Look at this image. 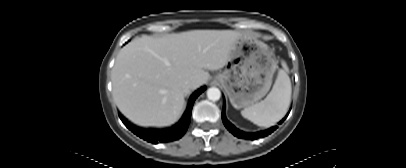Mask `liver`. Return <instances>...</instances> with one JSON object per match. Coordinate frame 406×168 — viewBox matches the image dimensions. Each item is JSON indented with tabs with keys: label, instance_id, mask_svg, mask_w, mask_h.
<instances>
[{
	"label": "liver",
	"instance_id": "6515ba94",
	"mask_svg": "<svg viewBox=\"0 0 406 168\" xmlns=\"http://www.w3.org/2000/svg\"><path fill=\"white\" fill-rule=\"evenodd\" d=\"M241 35L234 30H191L161 38L144 35L129 42L112 69L117 107L140 126L175 123L189 93L184 92L185 83L192 81V89L205 84L207 70L227 64Z\"/></svg>",
	"mask_w": 406,
	"mask_h": 168
}]
</instances>
